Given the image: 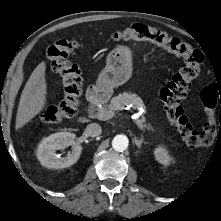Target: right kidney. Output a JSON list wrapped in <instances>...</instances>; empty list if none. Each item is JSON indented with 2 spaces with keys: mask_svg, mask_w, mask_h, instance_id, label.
I'll list each match as a JSON object with an SVG mask.
<instances>
[{
  "mask_svg": "<svg viewBox=\"0 0 221 221\" xmlns=\"http://www.w3.org/2000/svg\"><path fill=\"white\" fill-rule=\"evenodd\" d=\"M75 134L58 132L44 138L38 146L37 158L42 166L53 169L70 167L75 164L82 152V146L74 142ZM72 145V151L66 157H60L55 152Z\"/></svg>",
  "mask_w": 221,
  "mask_h": 221,
  "instance_id": "ca27d5eb",
  "label": "right kidney"
}]
</instances>
